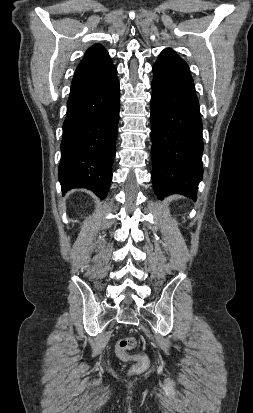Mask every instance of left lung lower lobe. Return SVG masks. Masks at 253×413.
<instances>
[{
    "mask_svg": "<svg viewBox=\"0 0 253 413\" xmlns=\"http://www.w3.org/2000/svg\"><path fill=\"white\" fill-rule=\"evenodd\" d=\"M151 83L152 181L156 195L197 198L202 179V121L187 63L165 49L153 66Z\"/></svg>",
    "mask_w": 253,
    "mask_h": 413,
    "instance_id": "obj_1",
    "label": "left lung lower lobe"
}]
</instances>
